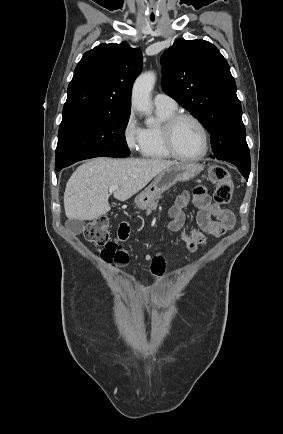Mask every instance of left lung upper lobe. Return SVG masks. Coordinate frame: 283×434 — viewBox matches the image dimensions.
<instances>
[{"instance_id": "5c2ea615", "label": "left lung upper lobe", "mask_w": 283, "mask_h": 434, "mask_svg": "<svg viewBox=\"0 0 283 434\" xmlns=\"http://www.w3.org/2000/svg\"><path fill=\"white\" fill-rule=\"evenodd\" d=\"M161 64L162 89L208 130L214 157L250 164L236 83L220 51L205 40L178 39Z\"/></svg>"}]
</instances>
